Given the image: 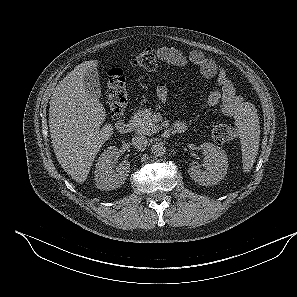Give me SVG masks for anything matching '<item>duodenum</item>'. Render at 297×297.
Returning a JSON list of instances; mask_svg holds the SVG:
<instances>
[{
  "label": "duodenum",
  "instance_id": "410a0bca",
  "mask_svg": "<svg viewBox=\"0 0 297 297\" xmlns=\"http://www.w3.org/2000/svg\"><path fill=\"white\" fill-rule=\"evenodd\" d=\"M116 128L120 134H127L133 128V122L121 121L117 124ZM185 131H186V124L183 122H177L169 129V132H174V133H183Z\"/></svg>",
  "mask_w": 297,
  "mask_h": 297
}]
</instances>
